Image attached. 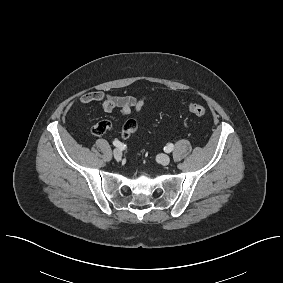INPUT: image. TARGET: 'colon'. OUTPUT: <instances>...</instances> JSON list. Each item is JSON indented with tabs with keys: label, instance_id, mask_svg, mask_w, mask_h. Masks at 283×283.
I'll return each instance as SVG.
<instances>
[{
	"label": "colon",
	"instance_id": "colon-1",
	"mask_svg": "<svg viewBox=\"0 0 283 283\" xmlns=\"http://www.w3.org/2000/svg\"><path fill=\"white\" fill-rule=\"evenodd\" d=\"M188 111L198 117H203L206 115V109L199 105V104H190L188 106ZM129 124L131 125H136V123L134 122H130ZM110 123L108 121H100L98 123H96L93 128H92V132L95 135H103L105 134L109 129H110Z\"/></svg>",
	"mask_w": 283,
	"mask_h": 283
}]
</instances>
